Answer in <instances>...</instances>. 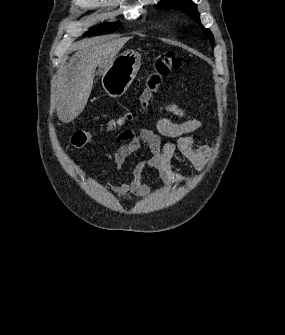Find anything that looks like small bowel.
Listing matches in <instances>:
<instances>
[{"mask_svg": "<svg viewBox=\"0 0 285 335\" xmlns=\"http://www.w3.org/2000/svg\"><path fill=\"white\" fill-rule=\"evenodd\" d=\"M163 112H170L183 119L181 123H174L162 116ZM157 132L148 128L127 129L120 132L108 146L126 142L119 147L114 156L115 164L122 168L132 154L145 150L150 154L146 160L137 163L131 171V179L109 188L122 198H144L148 195V187L143 181V171L147 167L159 171L163 181L174 186L182 183L184 178L176 173L173 161L176 155H181L195 168L203 169L211 154V148L199 144L190 135L203 127V122L194 117L191 109L181 106L177 101L164 100L157 107L155 119ZM159 135L177 138L175 142L162 144ZM105 157H109L106 152Z\"/></svg>", "mask_w": 285, "mask_h": 335, "instance_id": "small-bowel-1", "label": "small bowel"}]
</instances>
